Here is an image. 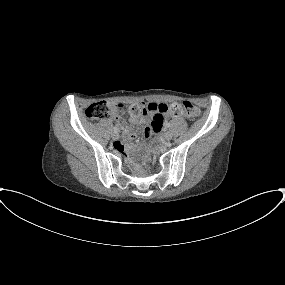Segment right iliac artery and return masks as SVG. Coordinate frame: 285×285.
I'll use <instances>...</instances> for the list:
<instances>
[{
	"instance_id": "1",
	"label": "right iliac artery",
	"mask_w": 285,
	"mask_h": 285,
	"mask_svg": "<svg viewBox=\"0 0 285 285\" xmlns=\"http://www.w3.org/2000/svg\"><path fill=\"white\" fill-rule=\"evenodd\" d=\"M113 129H114V132L119 131V129L117 127H114Z\"/></svg>"
}]
</instances>
